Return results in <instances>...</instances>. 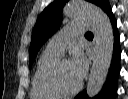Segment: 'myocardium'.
<instances>
[{
    "instance_id": "f54148a6",
    "label": "myocardium",
    "mask_w": 128,
    "mask_h": 99,
    "mask_svg": "<svg viewBox=\"0 0 128 99\" xmlns=\"http://www.w3.org/2000/svg\"><path fill=\"white\" fill-rule=\"evenodd\" d=\"M68 60L67 58H59L46 72L45 83L49 89L59 94L60 96H71L76 94L82 88V81L72 89H65L59 82V71L62 63Z\"/></svg>"
}]
</instances>
